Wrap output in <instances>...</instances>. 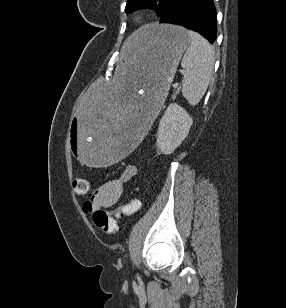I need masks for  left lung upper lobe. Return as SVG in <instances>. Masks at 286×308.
<instances>
[{
    "label": "left lung upper lobe",
    "instance_id": "left-lung-upper-lobe-1",
    "mask_svg": "<svg viewBox=\"0 0 286 308\" xmlns=\"http://www.w3.org/2000/svg\"><path fill=\"white\" fill-rule=\"evenodd\" d=\"M172 0H128L125 11H134L140 8L154 9L161 16Z\"/></svg>",
    "mask_w": 286,
    "mask_h": 308
}]
</instances>
